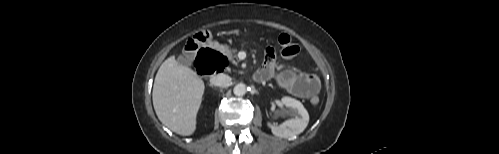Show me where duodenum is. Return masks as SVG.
Listing matches in <instances>:
<instances>
[{
	"label": "duodenum",
	"instance_id": "duodenum-1",
	"mask_svg": "<svg viewBox=\"0 0 499 154\" xmlns=\"http://www.w3.org/2000/svg\"><path fill=\"white\" fill-rule=\"evenodd\" d=\"M220 54L217 52H213L210 54H205L202 53L196 61V69L197 72L200 75H207V74H212L218 70H216L217 64L215 63V60L212 58V56H219ZM254 79L256 81H259V75L255 74Z\"/></svg>",
	"mask_w": 499,
	"mask_h": 154
}]
</instances>
